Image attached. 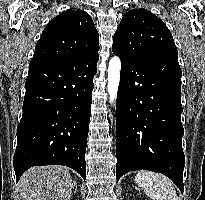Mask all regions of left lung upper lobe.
<instances>
[{"mask_svg":"<svg viewBox=\"0 0 205 200\" xmlns=\"http://www.w3.org/2000/svg\"><path fill=\"white\" fill-rule=\"evenodd\" d=\"M112 50L133 60L178 56L167 26L146 9L130 10L124 14L114 34Z\"/></svg>","mask_w":205,"mask_h":200,"instance_id":"5c2ea615","label":"left lung upper lobe"}]
</instances>
